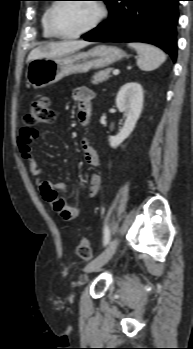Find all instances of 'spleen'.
<instances>
[{"label": "spleen", "instance_id": "1", "mask_svg": "<svg viewBox=\"0 0 193 349\" xmlns=\"http://www.w3.org/2000/svg\"><path fill=\"white\" fill-rule=\"evenodd\" d=\"M128 46L137 51V65L143 71H152L166 61L165 53L153 45L129 43Z\"/></svg>", "mask_w": 193, "mask_h": 349}]
</instances>
